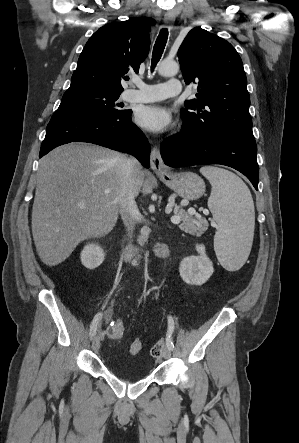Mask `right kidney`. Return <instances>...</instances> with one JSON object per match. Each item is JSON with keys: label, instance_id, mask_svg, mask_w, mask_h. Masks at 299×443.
I'll use <instances>...</instances> for the list:
<instances>
[{"label": "right kidney", "instance_id": "right-kidney-1", "mask_svg": "<svg viewBox=\"0 0 299 443\" xmlns=\"http://www.w3.org/2000/svg\"><path fill=\"white\" fill-rule=\"evenodd\" d=\"M104 250L96 243H88L81 251V263L88 269H95L104 261Z\"/></svg>", "mask_w": 299, "mask_h": 443}]
</instances>
